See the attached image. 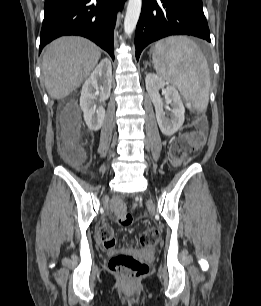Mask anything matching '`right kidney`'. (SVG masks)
Instances as JSON below:
<instances>
[{"mask_svg":"<svg viewBox=\"0 0 261 306\" xmlns=\"http://www.w3.org/2000/svg\"><path fill=\"white\" fill-rule=\"evenodd\" d=\"M100 83V85H99ZM112 87V67L108 59H103L85 81L80 97V107L84 114V120L88 128L97 131L101 128L105 109L99 102L107 100Z\"/></svg>","mask_w":261,"mask_h":306,"instance_id":"1","label":"right kidney"}]
</instances>
